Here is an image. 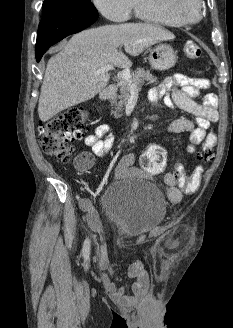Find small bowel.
I'll return each instance as SVG.
<instances>
[{
    "mask_svg": "<svg viewBox=\"0 0 233 328\" xmlns=\"http://www.w3.org/2000/svg\"><path fill=\"white\" fill-rule=\"evenodd\" d=\"M209 85V80L206 78L175 74L151 88L148 93L150 101L156 102L163 99L168 108L178 107L194 117V121L185 118L176 119L168 126L170 133H187L189 135L187 151L190 154L197 152V146L206 139L210 125L219 119L218 101L214 94H207L202 103L196 101L200 91L209 88ZM113 142L114 137L107 124L98 125L94 132L84 139L85 145L98 156H104L111 149ZM116 176L119 179H137L147 177L148 173L137 164L136 156L129 153L119 161ZM164 183L167 186L168 199L172 203H179L182 200V192L177 186L176 176L172 173H166ZM79 205L86 212L90 225L98 230L99 218L90 200L82 198L79 200ZM115 271L116 267L110 266L107 272L102 275L103 286L115 302L129 305L145 297L149 290L150 281L141 261L136 260L126 268L127 275L133 279L131 293H127L124 287L116 283L114 280Z\"/></svg>",
    "mask_w": 233,
    "mask_h": 328,
    "instance_id": "1",
    "label": "small bowel"
}]
</instances>
